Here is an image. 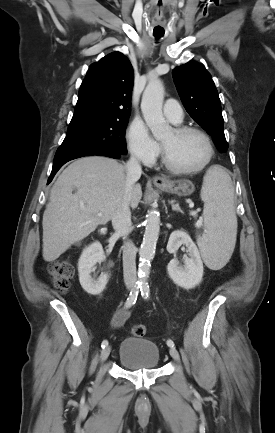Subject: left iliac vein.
<instances>
[{"label": "left iliac vein", "mask_w": 275, "mask_h": 433, "mask_svg": "<svg viewBox=\"0 0 275 433\" xmlns=\"http://www.w3.org/2000/svg\"><path fill=\"white\" fill-rule=\"evenodd\" d=\"M169 353L174 360L179 361V353L175 348H170Z\"/></svg>", "instance_id": "4c4485c4"}]
</instances>
